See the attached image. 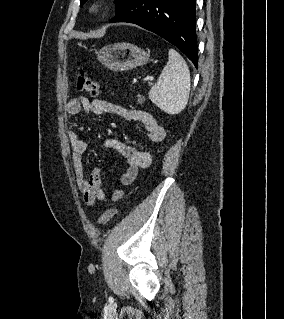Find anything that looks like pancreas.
<instances>
[{"label": "pancreas", "instance_id": "pancreas-1", "mask_svg": "<svg viewBox=\"0 0 284 319\" xmlns=\"http://www.w3.org/2000/svg\"><path fill=\"white\" fill-rule=\"evenodd\" d=\"M144 102H145V97L141 96V95H138V103L142 104Z\"/></svg>", "mask_w": 284, "mask_h": 319}]
</instances>
